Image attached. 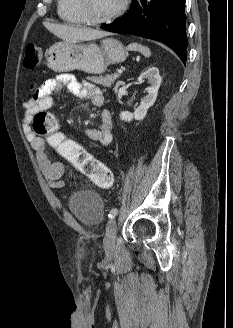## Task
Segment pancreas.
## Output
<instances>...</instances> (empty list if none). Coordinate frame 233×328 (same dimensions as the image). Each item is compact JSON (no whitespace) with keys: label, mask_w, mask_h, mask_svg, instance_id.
<instances>
[{"label":"pancreas","mask_w":233,"mask_h":328,"mask_svg":"<svg viewBox=\"0 0 233 328\" xmlns=\"http://www.w3.org/2000/svg\"><path fill=\"white\" fill-rule=\"evenodd\" d=\"M120 76V74H107L105 76H93V77H87V80H90L91 82L95 84L102 85L104 87H111V85L114 83V81Z\"/></svg>","instance_id":"pancreas-1"}]
</instances>
